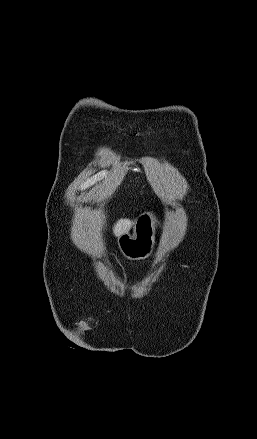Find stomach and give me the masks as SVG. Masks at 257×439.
Segmentation results:
<instances>
[{"label": "stomach", "mask_w": 257, "mask_h": 439, "mask_svg": "<svg viewBox=\"0 0 257 439\" xmlns=\"http://www.w3.org/2000/svg\"><path fill=\"white\" fill-rule=\"evenodd\" d=\"M157 220L150 212L142 213L136 220L133 234L126 232L118 238V248L129 260L149 257L155 245V224Z\"/></svg>", "instance_id": "stomach-1"}]
</instances>
